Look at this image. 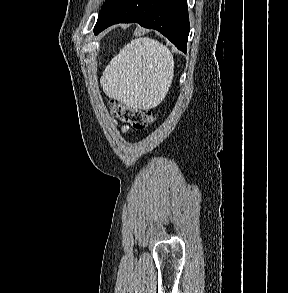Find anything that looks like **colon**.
Returning <instances> with one entry per match:
<instances>
[{
  "instance_id": "colon-1",
  "label": "colon",
  "mask_w": 288,
  "mask_h": 293,
  "mask_svg": "<svg viewBox=\"0 0 288 293\" xmlns=\"http://www.w3.org/2000/svg\"><path fill=\"white\" fill-rule=\"evenodd\" d=\"M111 111L119 120L131 124L136 129H144L156 121V114L148 109L129 107L112 103Z\"/></svg>"
}]
</instances>
